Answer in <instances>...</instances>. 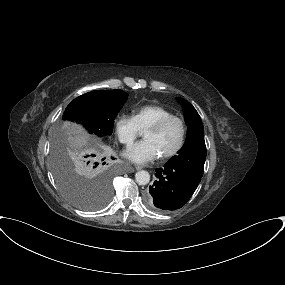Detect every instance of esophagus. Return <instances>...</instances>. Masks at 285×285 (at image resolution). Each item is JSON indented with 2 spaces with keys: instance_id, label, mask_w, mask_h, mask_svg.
<instances>
[{
  "instance_id": "1",
  "label": "esophagus",
  "mask_w": 285,
  "mask_h": 285,
  "mask_svg": "<svg viewBox=\"0 0 285 285\" xmlns=\"http://www.w3.org/2000/svg\"><path fill=\"white\" fill-rule=\"evenodd\" d=\"M135 169H136V170H141L142 167H141V166H137ZM135 169H134V168H130L128 171H129V172H134Z\"/></svg>"
}]
</instances>
